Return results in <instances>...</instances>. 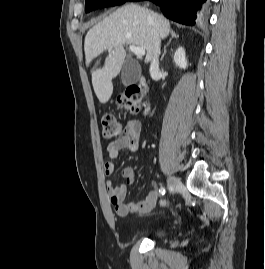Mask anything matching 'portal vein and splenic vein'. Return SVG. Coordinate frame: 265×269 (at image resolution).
<instances>
[{
    "instance_id": "obj_1",
    "label": "portal vein and splenic vein",
    "mask_w": 265,
    "mask_h": 269,
    "mask_svg": "<svg viewBox=\"0 0 265 269\" xmlns=\"http://www.w3.org/2000/svg\"><path fill=\"white\" fill-rule=\"evenodd\" d=\"M129 49L133 52L137 57H143L145 55V50L141 47L130 45Z\"/></svg>"
}]
</instances>
